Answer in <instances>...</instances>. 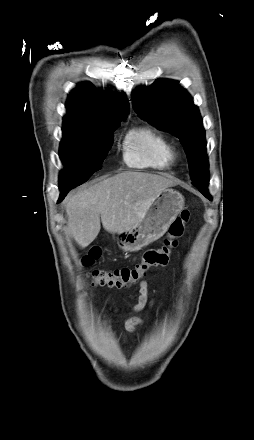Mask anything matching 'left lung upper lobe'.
Masks as SVG:
<instances>
[{
	"label": "left lung upper lobe",
	"mask_w": 254,
	"mask_h": 440,
	"mask_svg": "<svg viewBox=\"0 0 254 440\" xmlns=\"http://www.w3.org/2000/svg\"><path fill=\"white\" fill-rule=\"evenodd\" d=\"M134 110L157 128L180 139L192 184L208 199L209 173L205 131L198 107L177 81L157 79L132 95Z\"/></svg>",
	"instance_id": "1"
}]
</instances>
